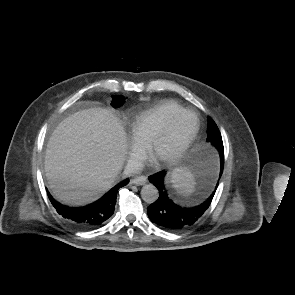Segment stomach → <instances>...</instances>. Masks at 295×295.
I'll list each match as a JSON object with an SVG mask.
<instances>
[{
	"mask_svg": "<svg viewBox=\"0 0 295 295\" xmlns=\"http://www.w3.org/2000/svg\"><path fill=\"white\" fill-rule=\"evenodd\" d=\"M199 155H200V149H194L192 151V160L191 164H196L199 160Z\"/></svg>",
	"mask_w": 295,
	"mask_h": 295,
	"instance_id": "0dacf381",
	"label": "stomach"
}]
</instances>
